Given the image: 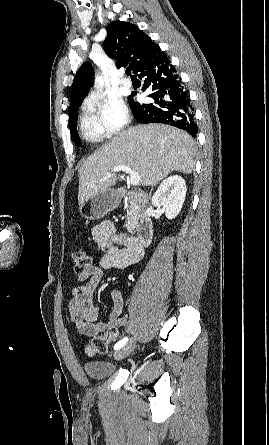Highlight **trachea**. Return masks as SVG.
Segmentation results:
<instances>
[{"label":"trachea","instance_id":"1","mask_svg":"<svg viewBox=\"0 0 269 445\" xmlns=\"http://www.w3.org/2000/svg\"><path fill=\"white\" fill-rule=\"evenodd\" d=\"M126 74H127L128 76H131V77H132V75H131V68H130V67H128V68L126 69Z\"/></svg>","mask_w":269,"mask_h":445}]
</instances>
